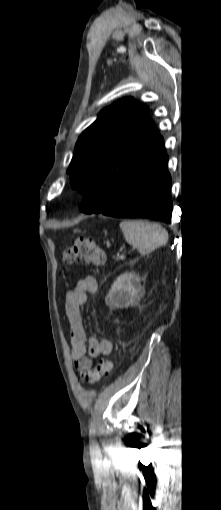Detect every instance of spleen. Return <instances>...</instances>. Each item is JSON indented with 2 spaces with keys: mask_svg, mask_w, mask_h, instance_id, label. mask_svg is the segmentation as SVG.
<instances>
[{
  "mask_svg": "<svg viewBox=\"0 0 221 510\" xmlns=\"http://www.w3.org/2000/svg\"><path fill=\"white\" fill-rule=\"evenodd\" d=\"M120 228L127 243L136 247L141 255H146L168 241V233L160 225L144 220H124Z\"/></svg>",
  "mask_w": 221,
  "mask_h": 510,
  "instance_id": "spleen-1",
  "label": "spleen"
}]
</instances>
